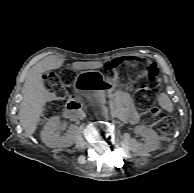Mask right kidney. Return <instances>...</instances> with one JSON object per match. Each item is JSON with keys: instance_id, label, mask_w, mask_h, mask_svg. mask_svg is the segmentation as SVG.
I'll return each mask as SVG.
<instances>
[{"instance_id": "ca27d5eb", "label": "right kidney", "mask_w": 194, "mask_h": 193, "mask_svg": "<svg viewBox=\"0 0 194 193\" xmlns=\"http://www.w3.org/2000/svg\"><path fill=\"white\" fill-rule=\"evenodd\" d=\"M60 119L57 116L51 117L41 132L42 142L49 148H65L73 144V132L71 129L63 136L57 133L60 127Z\"/></svg>"}]
</instances>
